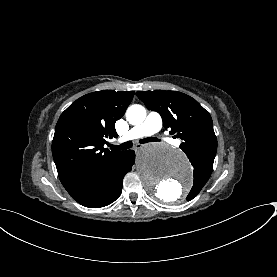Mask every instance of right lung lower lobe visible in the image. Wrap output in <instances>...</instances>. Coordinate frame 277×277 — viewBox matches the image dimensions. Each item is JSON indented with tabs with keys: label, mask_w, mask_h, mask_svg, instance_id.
<instances>
[{
	"label": "right lung lower lobe",
	"mask_w": 277,
	"mask_h": 277,
	"mask_svg": "<svg viewBox=\"0 0 277 277\" xmlns=\"http://www.w3.org/2000/svg\"><path fill=\"white\" fill-rule=\"evenodd\" d=\"M134 162V151H124L81 178L67 191L83 206H107L121 195L123 178L131 170Z\"/></svg>",
	"instance_id": "obj_1"
}]
</instances>
